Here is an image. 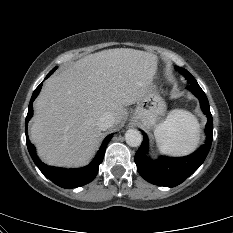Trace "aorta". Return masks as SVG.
<instances>
[{
	"mask_svg": "<svg viewBox=\"0 0 233 233\" xmlns=\"http://www.w3.org/2000/svg\"><path fill=\"white\" fill-rule=\"evenodd\" d=\"M126 143L131 147H137L142 142V135L137 129H129L125 133Z\"/></svg>",
	"mask_w": 233,
	"mask_h": 233,
	"instance_id": "762f6f07",
	"label": "aorta"
}]
</instances>
